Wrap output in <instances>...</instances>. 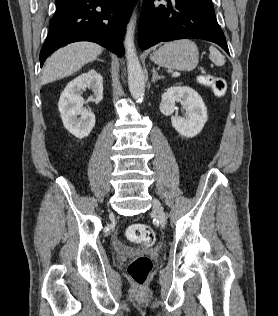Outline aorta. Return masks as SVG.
<instances>
[{"label":"aorta","instance_id":"aorta-1","mask_svg":"<svg viewBox=\"0 0 278 316\" xmlns=\"http://www.w3.org/2000/svg\"><path fill=\"white\" fill-rule=\"evenodd\" d=\"M136 25V13L132 14V17L127 25L124 46L126 50L127 58V72H128V86L132 97L137 101H142L145 92V80L144 74L136 54L134 45V31Z\"/></svg>","mask_w":278,"mask_h":316}]
</instances>
